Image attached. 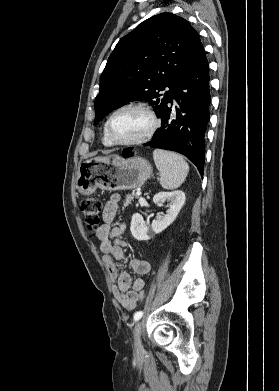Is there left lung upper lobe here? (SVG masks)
Returning a JSON list of instances; mask_svg holds the SVG:
<instances>
[{
    "instance_id": "obj_1",
    "label": "left lung upper lobe",
    "mask_w": 279,
    "mask_h": 391,
    "mask_svg": "<svg viewBox=\"0 0 279 391\" xmlns=\"http://www.w3.org/2000/svg\"><path fill=\"white\" fill-rule=\"evenodd\" d=\"M202 50L196 30L177 15L162 13L142 22L118 42L108 59L95 99L94 125L135 100L152 103L160 117ZM166 87L169 91L161 94Z\"/></svg>"
}]
</instances>
